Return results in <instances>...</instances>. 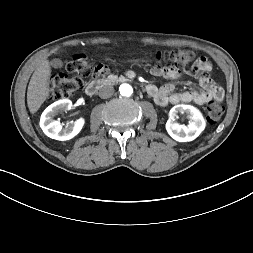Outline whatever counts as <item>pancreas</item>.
I'll return each mask as SVG.
<instances>
[{"label":"pancreas","mask_w":253,"mask_h":253,"mask_svg":"<svg viewBox=\"0 0 253 253\" xmlns=\"http://www.w3.org/2000/svg\"><path fill=\"white\" fill-rule=\"evenodd\" d=\"M112 78H113V79H117V77H116V76H112ZM110 79H111V78H109L108 80H110Z\"/></svg>","instance_id":"cf45deb5"}]
</instances>
